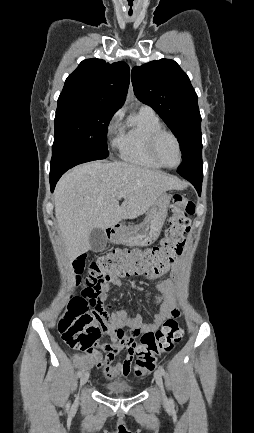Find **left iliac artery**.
Returning a JSON list of instances; mask_svg holds the SVG:
<instances>
[{"instance_id":"obj_1","label":"left iliac artery","mask_w":254,"mask_h":433,"mask_svg":"<svg viewBox=\"0 0 254 433\" xmlns=\"http://www.w3.org/2000/svg\"><path fill=\"white\" fill-rule=\"evenodd\" d=\"M159 371L162 373V375H165V369L163 368V366H159ZM169 402L172 405L174 404L172 399H170Z\"/></svg>"}]
</instances>
